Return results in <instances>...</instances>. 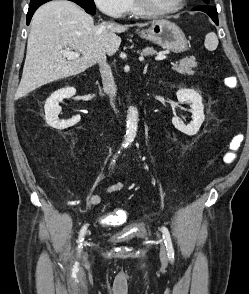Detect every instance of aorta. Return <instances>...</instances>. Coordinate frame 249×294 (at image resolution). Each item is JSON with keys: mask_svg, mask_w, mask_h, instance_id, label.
Returning <instances> with one entry per match:
<instances>
[{"mask_svg": "<svg viewBox=\"0 0 249 294\" xmlns=\"http://www.w3.org/2000/svg\"><path fill=\"white\" fill-rule=\"evenodd\" d=\"M138 127V110L134 106L128 108L126 120V135L124 145L129 146L136 137Z\"/></svg>", "mask_w": 249, "mask_h": 294, "instance_id": "762f6f07", "label": "aorta"}]
</instances>
